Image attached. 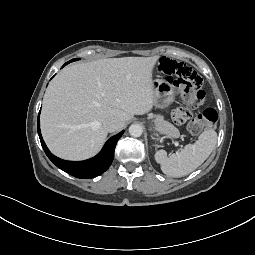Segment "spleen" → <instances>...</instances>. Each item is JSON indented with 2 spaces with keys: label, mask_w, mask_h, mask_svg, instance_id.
Instances as JSON below:
<instances>
[{
  "label": "spleen",
  "mask_w": 255,
  "mask_h": 255,
  "mask_svg": "<svg viewBox=\"0 0 255 255\" xmlns=\"http://www.w3.org/2000/svg\"><path fill=\"white\" fill-rule=\"evenodd\" d=\"M217 133L210 129L202 132L198 140L186 145L180 152L167 156L165 150L155 153V160L164 174L182 177L198 168L212 153L216 146Z\"/></svg>",
  "instance_id": "1"
}]
</instances>
